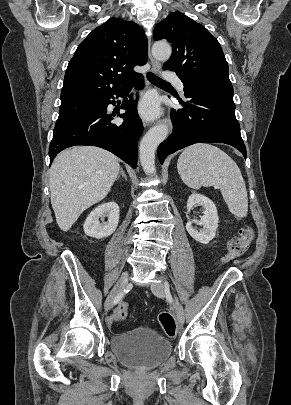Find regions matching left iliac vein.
Here are the masks:
<instances>
[{"label":"left iliac vein","mask_w":291,"mask_h":405,"mask_svg":"<svg viewBox=\"0 0 291 405\" xmlns=\"http://www.w3.org/2000/svg\"><path fill=\"white\" fill-rule=\"evenodd\" d=\"M151 291L154 295L158 297H164L168 288L163 285L162 283L154 282L150 285ZM175 306H176V316L180 326L184 323V309L181 304L175 299Z\"/></svg>","instance_id":"obj_1"}]
</instances>
